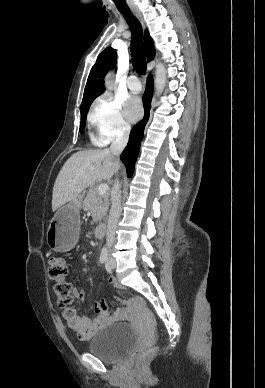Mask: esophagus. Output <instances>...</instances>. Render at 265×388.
Listing matches in <instances>:
<instances>
[{
	"mask_svg": "<svg viewBox=\"0 0 265 388\" xmlns=\"http://www.w3.org/2000/svg\"><path fill=\"white\" fill-rule=\"evenodd\" d=\"M131 12H133L135 17H137V19L139 20L141 25L145 28V21L143 19V16H142L141 12L139 10H137V9H132Z\"/></svg>",
	"mask_w": 265,
	"mask_h": 388,
	"instance_id": "esophagus-1",
	"label": "esophagus"
}]
</instances>
